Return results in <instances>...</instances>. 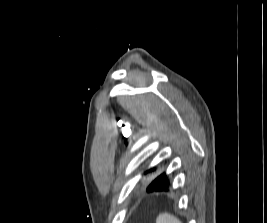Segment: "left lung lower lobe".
<instances>
[{"mask_svg": "<svg viewBox=\"0 0 267 223\" xmlns=\"http://www.w3.org/2000/svg\"><path fill=\"white\" fill-rule=\"evenodd\" d=\"M177 186L178 183L174 182V177H170V173H159V177L153 180L151 184L146 187L147 195L164 194L165 191H169L172 189V187Z\"/></svg>", "mask_w": 267, "mask_h": 223, "instance_id": "0a47b994", "label": "left lung lower lobe"}]
</instances>
